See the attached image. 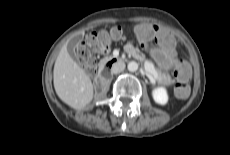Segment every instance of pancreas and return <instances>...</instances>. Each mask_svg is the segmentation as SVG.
Wrapping results in <instances>:
<instances>
[{
    "label": "pancreas",
    "mask_w": 230,
    "mask_h": 155,
    "mask_svg": "<svg viewBox=\"0 0 230 155\" xmlns=\"http://www.w3.org/2000/svg\"><path fill=\"white\" fill-rule=\"evenodd\" d=\"M125 51L130 55H132L135 59H138L140 61H145V63H151L148 60H145L144 55H142L138 49L129 48L128 46H125ZM155 71L157 72V76L155 77V79L158 82L163 83L165 85L173 84V80L168 73H162L159 70H155ZM148 73L151 74L150 72Z\"/></svg>",
    "instance_id": "pancreas-1"
}]
</instances>
